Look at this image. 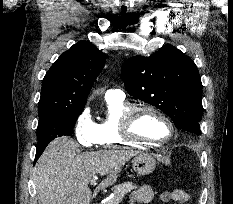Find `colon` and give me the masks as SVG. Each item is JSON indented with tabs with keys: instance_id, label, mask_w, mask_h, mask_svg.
<instances>
[{
	"instance_id": "colon-1",
	"label": "colon",
	"mask_w": 233,
	"mask_h": 204,
	"mask_svg": "<svg viewBox=\"0 0 233 204\" xmlns=\"http://www.w3.org/2000/svg\"><path fill=\"white\" fill-rule=\"evenodd\" d=\"M175 190H169L163 193V199L167 202H174L176 199Z\"/></svg>"
}]
</instances>
